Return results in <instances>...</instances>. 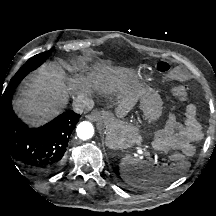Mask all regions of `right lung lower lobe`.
Here are the masks:
<instances>
[{"mask_svg": "<svg viewBox=\"0 0 216 216\" xmlns=\"http://www.w3.org/2000/svg\"><path fill=\"white\" fill-rule=\"evenodd\" d=\"M12 94L8 88L0 94V157L20 162L37 176L57 172L80 115L67 111L44 126L31 129L14 113Z\"/></svg>", "mask_w": 216, "mask_h": 216, "instance_id": "right-lung-lower-lobe-1", "label": "right lung lower lobe"}]
</instances>
